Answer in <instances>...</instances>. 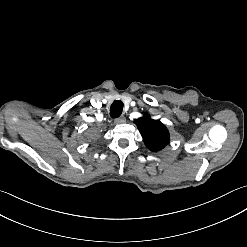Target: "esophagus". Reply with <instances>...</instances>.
Instances as JSON below:
<instances>
[{
  "label": "esophagus",
  "mask_w": 247,
  "mask_h": 247,
  "mask_svg": "<svg viewBox=\"0 0 247 247\" xmlns=\"http://www.w3.org/2000/svg\"><path fill=\"white\" fill-rule=\"evenodd\" d=\"M115 122L117 124L125 123L126 122V118L124 116L118 117Z\"/></svg>",
  "instance_id": "1"
}]
</instances>
